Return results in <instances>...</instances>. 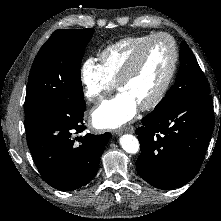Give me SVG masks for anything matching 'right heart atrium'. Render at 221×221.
<instances>
[{"label":"right heart atrium","instance_id":"d8ad5b80","mask_svg":"<svg viewBox=\"0 0 221 221\" xmlns=\"http://www.w3.org/2000/svg\"><path fill=\"white\" fill-rule=\"evenodd\" d=\"M81 82L85 98L93 104L101 103L114 88V83L92 58L81 66Z\"/></svg>","mask_w":221,"mask_h":221}]
</instances>
